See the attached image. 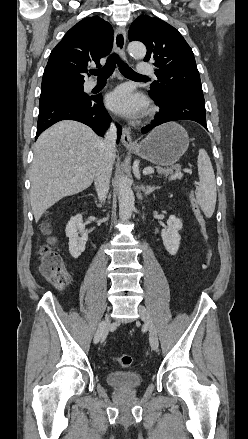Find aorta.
Wrapping results in <instances>:
<instances>
[{"label": "aorta", "mask_w": 248, "mask_h": 439, "mask_svg": "<svg viewBox=\"0 0 248 439\" xmlns=\"http://www.w3.org/2000/svg\"><path fill=\"white\" fill-rule=\"evenodd\" d=\"M128 52L134 59H143L146 55V47L141 42H131L128 45ZM118 201L119 218L123 221L129 220L135 209V197L130 180L124 175L118 180Z\"/></svg>", "instance_id": "aorta-1"}]
</instances>
